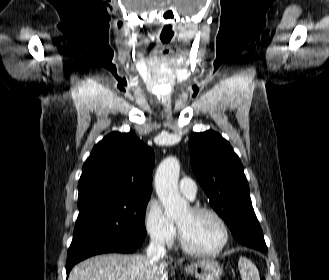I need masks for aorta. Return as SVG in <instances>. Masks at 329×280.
Masks as SVG:
<instances>
[{
	"mask_svg": "<svg viewBox=\"0 0 329 280\" xmlns=\"http://www.w3.org/2000/svg\"><path fill=\"white\" fill-rule=\"evenodd\" d=\"M180 165L175 157L163 160L155 174L156 193L164 207L167 218L176 219L188 211V203L178 190Z\"/></svg>",
	"mask_w": 329,
	"mask_h": 280,
	"instance_id": "obj_1",
	"label": "aorta"
}]
</instances>
